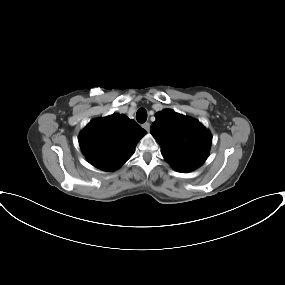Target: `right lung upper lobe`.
Segmentation results:
<instances>
[{
    "label": "right lung upper lobe",
    "mask_w": 285,
    "mask_h": 285,
    "mask_svg": "<svg viewBox=\"0 0 285 285\" xmlns=\"http://www.w3.org/2000/svg\"><path fill=\"white\" fill-rule=\"evenodd\" d=\"M145 133L134 120L113 114L90 121L79 135V145L93 166L114 171L131 157Z\"/></svg>",
    "instance_id": "right-lung-upper-lobe-1"
}]
</instances>
